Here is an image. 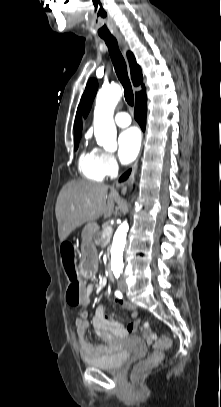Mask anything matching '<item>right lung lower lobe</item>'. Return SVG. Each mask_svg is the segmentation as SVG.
<instances>
[{"label":"right lung lower lobe","mask_w":221,"mask_h":407,"mask_svg":"<svg viewBox=\"0 0 221 407\" xmlns=\"http://www.w3.org/2000/svg\"><path fill=\"white\" fill-rule=\"evenodd\" d=\"M146 112H147V98L145 97L136 103L134 111V117L141 126L143 131L145 130L146 126ZM130 172L131 170L127 171L124 175H122L120 181L127 179Z\"/></svg>","instance_id":"98d812e1"}]
</instances>
